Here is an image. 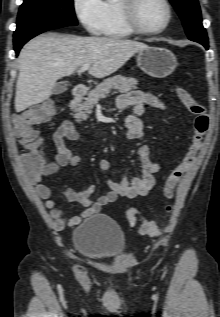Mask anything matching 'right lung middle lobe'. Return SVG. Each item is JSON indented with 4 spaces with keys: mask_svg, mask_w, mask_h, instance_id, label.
<instances>
[{
    "mask_svg": "<svg viewBox=\"0 0 220 317\" xmlns=\"http://www.w3.org/2000/svg\"><path fill=\"white\" fill-rule=\"evenodd\" d=\"M52 24L77 25L73 0H24L20 6L14 39L34 28Z\"/></svg>",
    "mask_w": 220,
    "mask_h": 317,
    "instance_id": "1",
    "label": "right lung middle lobe"
}]
</instances>
